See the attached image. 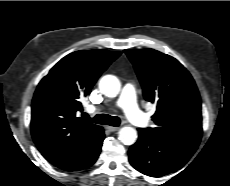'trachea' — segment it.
Returning a JSON list of instances; mask_svg holds the SVG:
<instances>
[{
	"instance_id": "obj_1",
	"label": "trachea",
	"mask_w": 230,
	"mask_h": 186,
	"mask_svg": "<svg viewBox=\"0 0 230 186\" xmlns=\"http://www.w3.org/2000/svg\"><path fill=\"white\" fill-rule=\"evenodd\" d=\"M83 116L85 119L96 124L110 125L114 127H118L120 125V119L118 117L110 116L108 114H98L94 118H91L88 114L84 113Z\"/></svg>"
}]
</instances>
